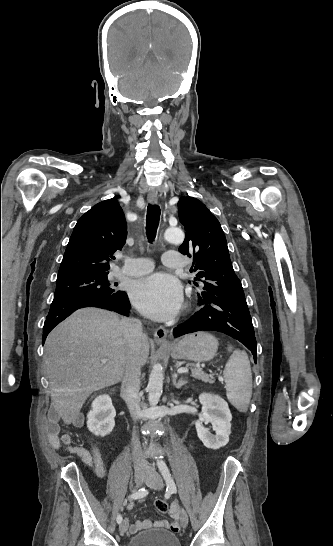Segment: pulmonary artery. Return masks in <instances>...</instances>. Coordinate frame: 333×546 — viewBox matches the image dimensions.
Returning a JSON list of instances; mask_svg holds the SVG:
<instances>
[{"label": "pulmonary artery", "mask_w": 333, "mask_h": 546, "mask_svg": "<svg viewBox=\"0 0 333 546\" xmlns=\"http://www.w3.org/2000/svg\"><path fill=\"white\" fill-rule=\"evenodd\" d=\"M162 262L170 268H180L185 264L183 257L176 251L165 252L162 256ZM153 267V262L148 258H128L120 269V274L139 276L151 272Z\"/></svg>", "instance_id": "pulmonary-artery-1"}]
</instances>
